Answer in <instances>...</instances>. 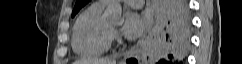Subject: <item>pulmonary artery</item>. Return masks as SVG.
Listing matches in <instances>:
<instances>
[{
	"label": "pulmonary artery",
	"mask_w": 242,
	"mask_h": 64,
	"mask_svg": "<svg viewBox=\"0 0 242 64\" xmlns=\"http://www.w3.org/2000/svg\"><path fill=\"white\" fill-rule=\"evenodd\" d=\"M126 4L130 5L131 7L134 8H141L143 6V0H123ZM111 0H100L96 3L101 4L103 6L108 5L109 3H111Z\"/></svg>",
	"instance_id": "1"
}]
</instances>
